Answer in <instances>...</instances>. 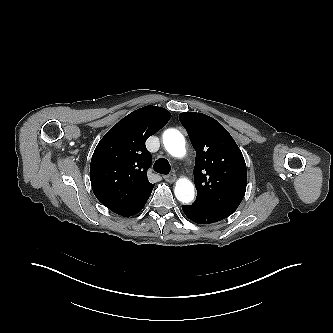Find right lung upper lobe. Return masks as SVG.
I'll list each match as a JSON object with an SVG mask.
<instances>
[{
  "mask_svg": "<svg viewBox=\"0 0 333 333\" xmlns=\"http://www.w3.org/2000/svg\"><path fill=\"white\" fill-rule=\"evenodd\" d=\"M170 117L162 107L145 106L120 120L98 143L90 164L92 189L114 213L132 216L147 202L154 184L147 178L152 157L145 141Z\"/></svg>",
  "mask_w": 333,
  "mask_h": 333,
  "instance_id": "right-lung-upper-lobe-1",
  "label": "right lung upper lobe"
}]
</instances>
